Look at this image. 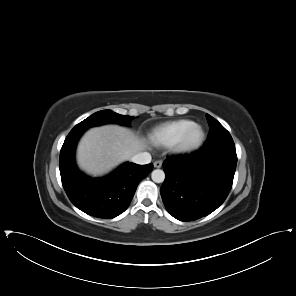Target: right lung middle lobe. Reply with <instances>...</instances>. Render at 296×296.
I'll return each mask as SVG.
<instances>
[{"mask_svg":"<svg viewBox=\"0 0 296 296\" xmlns=\"http://www.w3.org/2000/svg\"><path fill=\"white\" fill-rule=\"evenodd\" d=\"M131 119L132 116L120 115L111 110H102L92 114L91 116L77 124L73 129L85 131L90 127L106 123L126 125V123H128Z\"/></svg>","mask_w":296,"mask_h":296,"instance_id":"obj_1","label":"right lung middle lobe"}]
</instances>
